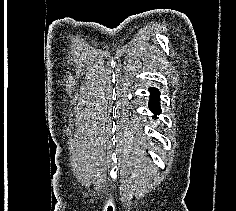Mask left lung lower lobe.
Here are the masks:
<instances>
[{"label": "left lung lower lobe", "mask_w": 236, "mask_h": 211, "mask_svg": "<svg viewBox=\"0 0 236 211\" xmlns=\"http://www.w3.org/2000/svg\"><path fill=\"white\" fill-rule=\"evenodd\" d=\"M159 91L157 89L151 88L150 89V110L156 115L160 113V106H159Z\"/></svg>", "instance_id": "0a47b994"}]
</instances>
